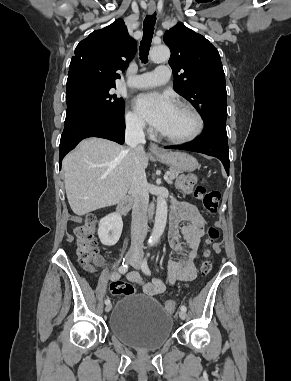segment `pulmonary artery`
<instances>
[{
    "label": "pulmonary artery",
    "instance_id": "pulmonary-artery-1",
    "mask_svg": "<svg viewBox=\"0 0 291 381\" xmlns=\"http://www.w3.org/2000/svg\"><path fill=\"white\" fill-rule=\"evenodd\" d=\"M169 77V68L161 65L152 72L131 76L126 83L129 87L135 89H146L165 84Z\"/></svg>",
    "mask_w": 291,
    "mask_h": 381
}]
</instances>
